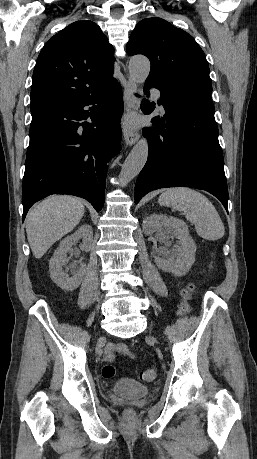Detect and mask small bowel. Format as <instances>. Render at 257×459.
<instances>
[{
	"mask_svg": "<svg viewBox=\"0 0 257 459\" xmlns=\"http://www.w3.org/2000/svg\"><path fill=\"white\" fill-rule=\"evenodd\" d=\"M115 353L126 354L133 356V354L128 350L124 344H111L106 350V357L108 360H112Z\"/></svg>",
	"mask_w": 257,
	"mask_h": 459,
	"instance_id": "c3829d8e",
	"label": "small bowel"
}]
</instances>
